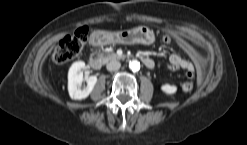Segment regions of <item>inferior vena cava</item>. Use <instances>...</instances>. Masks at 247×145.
Masks as SVG:
<instances>
[{
    "mask_svg": "<svg viewBox=\"0 0 247 145\" xmlns=\"http://www.w3.org/2000/svg\"><path fill=\"white\" fill-rule=\"evenodd\" d=\"M121 67V63L117 60H111L107 63L108 71H116Z\"/></svg>",
    "mask_w": 247,
    "mask_h": 145,
    "instance_id": "inferior-vena-cava-1",
    "label": "inferior vena cava"
}]
</instances>
